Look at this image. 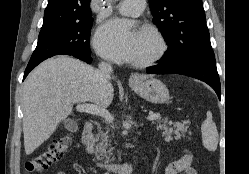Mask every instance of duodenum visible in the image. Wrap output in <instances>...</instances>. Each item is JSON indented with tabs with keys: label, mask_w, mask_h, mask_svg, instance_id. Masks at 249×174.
<instances>
[{
	"label": "duodenum",
	"mask_w": 249,
	"mask_h": 174,
	"mask_svg": "<svg viewBox=\"0 0 249 174\" xmlns=\"http://www.w3.org/2000/svg\"><path fill=\"white\" fill-rule=\"evenodd\" d=\"M93 131H94V123L91 121H86L83 126V135H82V145L86 151H89L93 144ZM102 169L112 174H131L135 169V164L110 163L103 165Z\"/></svg>",
	"instance_id": "obj_1"
}]
</instances>
